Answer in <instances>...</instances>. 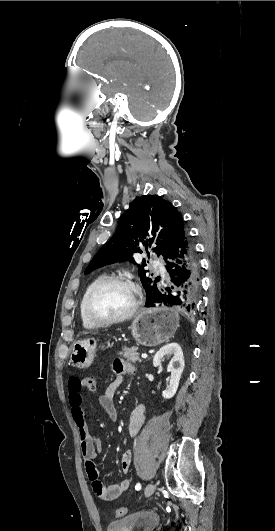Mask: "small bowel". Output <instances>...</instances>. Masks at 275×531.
<instances>
[{"mask_svg": "<svg viewBox=\"0 0 275 531\" xmlns=\"http://www.w3.org/2000/svg\"><path fill=\"white\" fill-rule=\"evenodd\" d=\"M113 371L116 378L105 388L103 394L98 398V404L111 420L116 421L118 418V411L114 404V396L120 387L123 385L124 377L133 375L136 368L130 362L116 358L112 364ZM68 384L66 391L68 401L71 408V417L78 429L80 450L85 460V469L91 487L96 496L103 501H112L122 495L130 487V480L123 478L120 482L114 485L107 486L99 478V472L95 464L97 454L102 450V441L100 438L92 436L89 432L85 419V411L82 405L81 396L77 395L81 392V375L79 373H70L68 375ZM146 408L143 404L138 405L130 418L129 434L136 436L145 420ZM133 453L131 450H125L120 458V467L124 473H128L132 463Z\"/></svg>", "mask_w": 275, "mask_h": 531, "instance_id": "1", "label": "small bowel"}]
</instances>
